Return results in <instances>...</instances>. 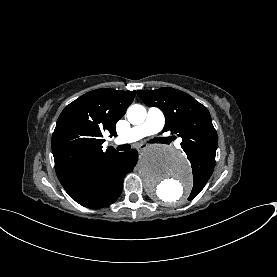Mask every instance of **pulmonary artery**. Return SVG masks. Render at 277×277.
<instances>
[{"label": "pulmonary artery", "instance_id": "1", "mask_svg": "<svg viewBox=\"0 0 277 277\" xmlns=\"http://www.w3.org/2000/svg\"><path fill=\"white\" fill-rule=\"evenodd\" d=\"M146 117L147 119L144 122L133 126L123 139L118 140V142H132L148 134L162 131L165 119L161 108L157 106L148 108Z\"/></svg>", "mask_w": 277, "mask_h": 277}]
</instances>
